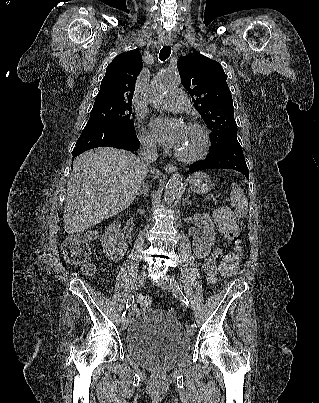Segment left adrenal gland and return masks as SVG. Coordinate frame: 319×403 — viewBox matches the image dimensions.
Returning <instances> with one entry per match:
<instances>
[{"label":"left adrenal gland","instance_id":"obj_1","mask_svg":"<svg viewBox=\"0 0 319 403\" xmlns=\"http://www.w3.org/2000/svg\"><path fill=\"white\" fill-rule=\"evenodd\" d=\"M189 196H190V194L188 193V195L186 196V198L184 199V201H183V206H185L186 204H190L191 205V202L188 200V198H189Z\"/></svg>","mask_w":319,"mask_h":403}]
</instances>
